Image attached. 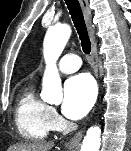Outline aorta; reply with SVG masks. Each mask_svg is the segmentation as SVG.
Masks as SVG:
<instances>
[{"label": "aorta", "instance_id": "1", "mask_svg": "<svg viewBox=\"0 0 131 151\" xmlns=\"http://www.w3.org/2000/svg\"><path fill=\"white\" fill-rule=\"evenodd\" d=\"M71 28L67 24L50 27L44 41V58L46 69L43 76V99L55 101L61 95V80L56 67L69 37ZM101 145V129L90 127L84 137L81 151H99Z\"/></svg>", "mask_w": 131, "mask_h": 151}]
</instances>
